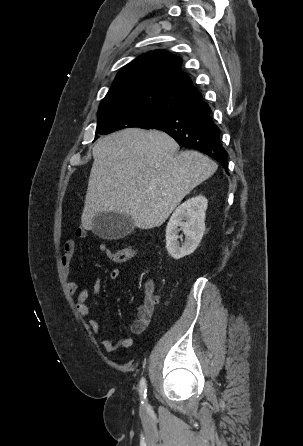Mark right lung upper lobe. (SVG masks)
<instances>
[{"label": "right lung upper lobe", "instance_id": "right-lung-upper-lobe-1", "mask_svg": "<svg viewBox=\"0 0 303 446\" xmlns=\"http://www.w3.org/2000/svg\"><path fill=\"white\" fill-rule=\"evenodd\" d=\"M182 59L164 51L146 53L122 68L99 107L141 105L168 112L174 101L186 105L202 99Z\"/></svg>", "mask_w": 303, "mask_h": 446}]
</instances>
